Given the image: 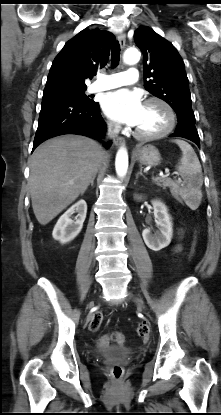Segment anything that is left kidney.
Here are the masks:
<instances>
[{
	"instance_id": "obj_1",
	"label": "left kidney",
	"mask_w": 221,
	"mask_h": 415,
	"mask_svg": "<svg viewBox=\"0 0 221 415\" xmlns=\"http://www.w3.org/2000/svg\"><path fill=\"white\" fill-rule=\"evenodd\" d=\"M135 198L138 200L142 199V197L138 195H136ZM152 205L158 231H156L155 234H152L150 228H146L143 230L142 236L148 248L153 251H159L167 247L171 242L173 234L172 220L168 214L167 207L163 202L160 200H152Z\"/></svg>"
}]
</instances>
